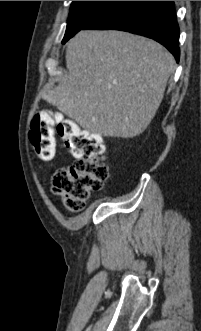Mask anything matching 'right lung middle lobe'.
Listing matches in <instances>:
<instances>
[{
	"label": "right lung middle lobe",
	"mask_w": 201,
	"mask_h": 331,
	"mask_svg": "<svg viewBox=\"0 0 201 331\" xmlns=\"http://www.w3.org/2000/svg\"><path fill=\"white\" fill-rule=\"evenodd\" d=\"M113 1H73L62 43L73 37Z\"/></svg>",
	"instance_id": "1"
}]
</instances>
